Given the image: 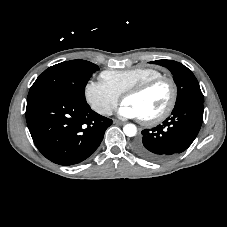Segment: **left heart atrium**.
I'll return each mask as SVG.
<instances>
[{"label": "left heart atrium", "mask_w": 227, "mask_h": 227, "mask_svg": "<svg viewBox=\"0 0 227 227\" xmlns=\"http://www.w3.org/2000/svg\"><path fill=\"white\" fill-rule=\"evenodd\" d=\"M118 114L123 118H129V119H133V118L140 119L141 118L137 109L134 106H132L128 103H125V102H123L121 104L120 108L118 109Z\"/></svg>", "instance_id": "39dd6f15"}]
</instances>
